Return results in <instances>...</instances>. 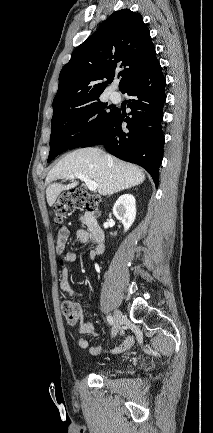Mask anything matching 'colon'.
I'll return each instance as SVG.
<instances>
[{
	"instance_id": "obj_1",
	"label": "colon",
	"mask_w": 213,
	"mask_h": 433,
	"mask_svg": "<svg viewBox=\"0 0 213 433\" xmlns=\"http://www.w3.org/2000/svg\"><path fill=\"white\" fill-rule=\"evenodd\" d=\"M74 209H86L93 214H98L99 199L81 188L61 194L54 205L56 222L60 223ZM61 312L71 325H76L82 315L80 305L72 299H66L61 303Z\"/></svg>"
}]
</instances>
